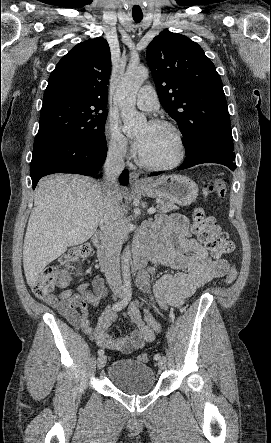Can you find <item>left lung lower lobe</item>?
I'll use <instances>...</instances> for the list:
<instances>
[{"label":"left lung lower lobe","instance_id":"0a47b994","mask_svg":"<svg viewBox=\"0 0 271 443\" xmlns=\"http://www.w3.org/2000/svg\"><path fill=\"white\" fill-rule=\"evenodd\" d=\"M195 148L186 152L183 164L177 169L182 170L201 163H218L235 170V153L232 137L222 134H208L195 142ZM161 172L150 174L159 175Z\"/></svg>","mask_w":271,"mask_h":443}]
</instances>
